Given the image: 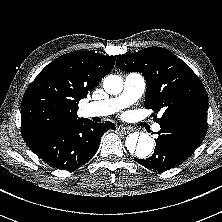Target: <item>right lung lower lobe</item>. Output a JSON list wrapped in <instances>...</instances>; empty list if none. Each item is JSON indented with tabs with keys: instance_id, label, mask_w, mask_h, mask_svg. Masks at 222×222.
Wrapping results in <instances>:
<instances>
[{
	"instance_id": "1",
	"label": "right lung lower lobe",
	"mask_w": 222,
	"mask_h": 222,
	"mask_svg": "<svg viewBox=\"0 0 222 222\" xmlns=\"http://www.w3.org/2000/svg\"><path fill=\"white\" fill-rule=\"evenodd\" d=\"M106 129H116L111 122L82 121L67 127H44L22 133L25 143L43 161L62 170L77 169L97 152Z\"/></svg>"
}]
</instances>
